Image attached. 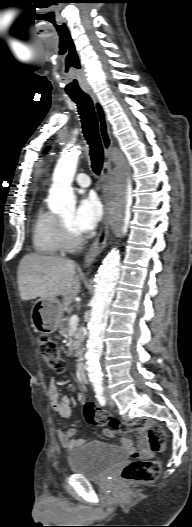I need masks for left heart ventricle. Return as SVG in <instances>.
I'll return each instance as SVG.
<instances>
[{
	"mask_svg": "<svg viewBox=\"0 0 192 527\" xmlns=\"http://www.w3.org/2000/svg\"><path fill=\"white\" fill-rule=\"evenodd\" d=\"M72 217H73V211H69L65 213L64 215H62L61 219L65 222V224L68 226V228L74 235H79L71 226Z\"/></svg>",
	"mask_w": 192,
	"mask_h": 527,
	"instance_id": "1",
	"label": "left heart ventricle"
}]
</instances>
